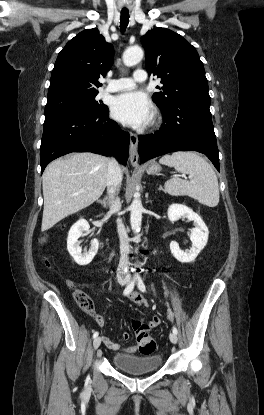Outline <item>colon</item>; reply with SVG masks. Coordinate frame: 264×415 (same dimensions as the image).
Returning a JSON list of instances; mask_svg holds the SVG:
<instances>
[{"label": "colon", "instance_id": "colon-1", "mask_svg": "<svg viewBox=\"0 0 264 415\" xmlns=\"http://www.w3.org/2000/svg\"><path fill=\"white\" fill-rule=\"evenodd\" d=\"M45 263H49L50 261L45 258ZM74 298L79 305V307L88 314H93V302L90 298V296L81 290H76L74 293ZM137 330H136V337L137 341L142 344L143 350L147 354H151L156 349V344L154 340L151 338V336L146 332L140 329L139 322H136Z\"/></svg>", "mask_w": 264, "mask_h": 415}]
</instances>
